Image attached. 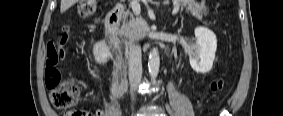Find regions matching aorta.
Returning <instances> with one entry per match:
<instances>
[{"label":"aorta","instance_id":"1","mask_svg":"<svg viewBox=\"0 0 283 116\" xmlns=\"http://www.w3.org/2000/svg\"><path fill=\"white\" fill-rule=\"evenodd\" d=\"M160 57L156 48H153L149 54L148 69L152 80H155L159 73Z\"/></svg>","mask_w":283,"mask_h":116}]
</instances>
